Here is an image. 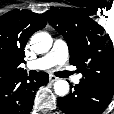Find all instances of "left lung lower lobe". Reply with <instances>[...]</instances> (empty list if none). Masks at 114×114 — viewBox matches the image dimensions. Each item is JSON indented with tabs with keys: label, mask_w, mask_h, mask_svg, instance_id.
Wrapping results in <instances>:
<instances>
[{
	"label": "left lung lower lobe",
	"mask_w": 114,
	"mask_h": 114,
	"mask_svg": "<svg viewBox=\"0 0 114 114\" xmlns=\"http://www.w3.org/2000/svg\"><path fill=\"white\" fill-rule=\"evenodd\" d=\"M113 94L112 87L81 80L74 86V91L58 98L57 104L65 114H102L110 104Z\"/></svg>",
	"instance_id": "obj_1"
}]
</instances>
